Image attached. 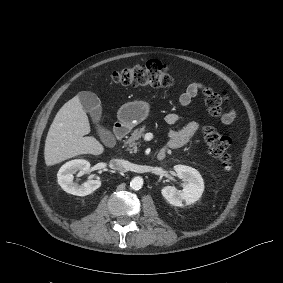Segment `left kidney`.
<instances>
[{"label":"left kidney","instance_id":"left-kidney-1","mask_svg":"<svg viewBox=\"0 0 283 283\" xmlns=\"http://www.w3.org/2000/svg\"><path fill=\"white\" fill-rule=\"evenodd\" d=\"M174 170L178 178L185 182L184 188L179 191L172 186H165L161 190L163 197L170 204L178 207L190 205L199 200L204 191V182L200 173L186 165H176Z\"/></svg>","mask_w":283,"mask_h":283}]
</instances>
